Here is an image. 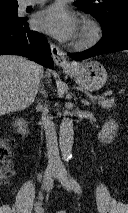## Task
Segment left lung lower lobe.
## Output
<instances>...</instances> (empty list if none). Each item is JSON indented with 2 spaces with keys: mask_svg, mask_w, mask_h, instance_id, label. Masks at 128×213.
Here are the masks:
<instances>
[{
  "mask_svg": "<svg viewBox=\"0 0 128 213\" xmlns=\"http://www.w3.org/2000/svg\"><path fill=\"white\" fill-rule=\"evenodd\" d=\"M122 50H128V18L103 29V38L94 47L68 56L77 61Z\"/></svg>",
  "mask_w": 128,
  "mask_h": 213,
  "instance_id": "1",
  "label": "left lung lower lobe"
}]
</instances>
